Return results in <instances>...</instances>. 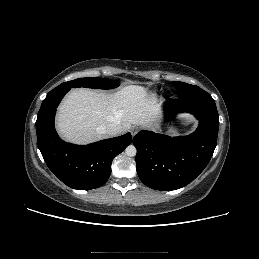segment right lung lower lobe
Segmentation results:
<instances>
[{
    "label": "right lung lower lobe",
    "mask_w": 259,
    "mask_h": 259,
    "mask_svg": "<svg viewBox=\"0 0 259 259\" xmlns=\"http://www.w3.org/2000/svg\"><path fill=\"white\" fill-rule=\"evenodd\" d=\"M70 89L50 91L37 115L36 132L40 152L49 169L73 189H95L106 183L111 163L132 142L130 133L89 144L62 141L54 128L56 108Z\"/></svg>",
    "instance_id": "1"
}]
</instances>
